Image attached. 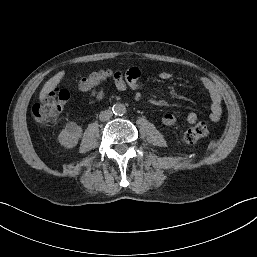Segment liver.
Returning <instances> with one entry per match:
<instances>
[{
	"label": "liver",
	"mask_w": 257,
	"mask_h": 257,
	"mask_svg": "<svg viewBox=\"0 0 257 257\" xmlns=\"http://www.w3.org/2000/svg\"><path fill=\"white\" fill-rule=\"evenodd\" d=\"M65 75L64 71L58 72L52 78H50L43 86L42 90L40 91L39 99L42 100L46 97V95L53 91V89L60 83L61 79Z\"/></svg>",
	"instance_id": "liver-1"
}]
</instances>
